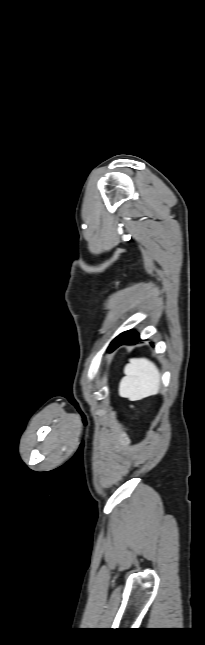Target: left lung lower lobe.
I'll return each instance as SVG.
<instances>
[{
    "label": "left lung lower lobe",
    "mask_w": 205,
    "mask_h": 645,
    "mask_svg": "<svg viewBox=\"0 0 205 645\" xmlns=\"http://www.w3.org/2000/svg\"><path fill=\"white\" fill-rule=\"evenodd\" d=\"M139 340H140L139 334L136 331L129 330V331L123 332L120 335H118L115 339L112 340L107 351L112 352L122 344H134L136 341H139Z\"/></svg>",
    "instance_id": "obj_1"
}]
</instances>
